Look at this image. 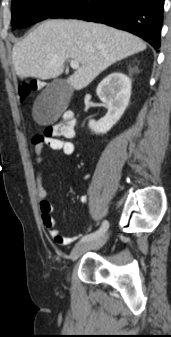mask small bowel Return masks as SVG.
Wrapping results in <instances>:
<instances>
[{"mask_svg": "<svg viewBox=\"0 0 171 337\" xmlns=\"http://www.w3.org/2000/svg\"><path fill=\"white\" fill-rule=\"evenodd\" d=\"M46 147L54 151H61L63 154L67 156L74 155L76 151L75 144L70 140L48 137L45 135H38L34 138L33 141V150L35 153L36 164L41 165L43 163L44 160L43 151ZM35 183H36V196L38 200L39 211L41 214V220L44 227L57 244L63 246L71 244L74 240L80 237L81 234L77 233L74 236L70 237L62 234L59 231L57 222L52 216L53 204L48 199V192L44 187L43 175L41 171H38L36 173ZM80 202L82 204H88L89 202L88 196L82 195L80 197Z\"/></svg>", "mask_w": 171, "mask_h": 337, "instance_id": "1", "label": "small bowel"}]
</instances>
